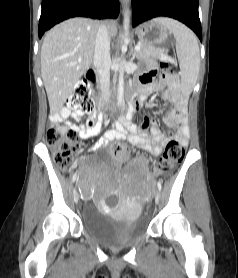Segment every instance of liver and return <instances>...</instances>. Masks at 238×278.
Returning <instances> with one entry per match:
<instances>
[{
  "label": "liver",
  "instance_id": "6515ba94",
  "mask_svg": "<svg viewBox=\"0 0 238 278\" xmlns=\"http://www.w3.org/2000/svg\"><path fill=\"white\" fill-rule=\"evenodd\" d=\"M99 22L87 18L68 19L53 27L41 48V76L50 112H58L72 94L81 76L92 64ZM111 37L117 34L115 21L107 24Z\"/></svg>",
  "mask_w": 238,
  "mask_h": 278
}]
</instances>
